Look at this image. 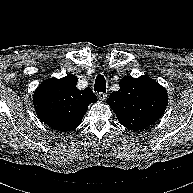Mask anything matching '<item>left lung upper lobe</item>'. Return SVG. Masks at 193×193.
<instances>
[{
	"label": "left lung upper lobe",
	"mask_w": 193,
	"mask_h": 193,
	"mask_svg": "<svg viewBox=\"0 0 193 193\" xmlns=\"http://www.w3.org/2000/svg\"><path fill=\"white\" fill-rule=\"evenodd\" d=\"M120 89L112 92L107 104L119 123L130 130H142L155 123L165 112L168 96L164 87L148 76L123 77Z\"/></svg>",
	"instance_id": "1"
}]
</instances>
